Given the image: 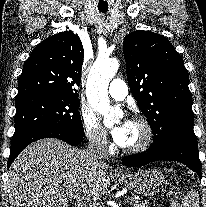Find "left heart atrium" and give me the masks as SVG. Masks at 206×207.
I'll list each match as a JSON object with an SVG mask.
<instances>
[{"label": "left heart atrium", "mask_w": 206, "mask_h": 207, "mask_svg": "<svg viewBox=\"0 0 206 207\" xmlns=\"http://www.w3.org/2000/svg\"><path fill=\"white\" fill-rule=\"evenodd\" d=\"M130 122L128 119H124L112 130L114 141L122 147H125L128 139Z\"/></svg>", "instance_id": "obj_1"}]
</instances>
